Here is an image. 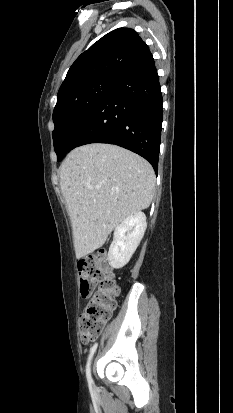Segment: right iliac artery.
<instances>
[{
	"label": "right iliac artery",
	"mask_w": 233,
	"mask_h": 413,
	"mask_svg": "<svg viewBox=\"0 0 233 413\" xmlns=\"http://www.w3.org/2000/svg\"><path fill=\"white\" fill-rule=\"evenodd\" d=\"M97 345H98V344L95 343V344L91 347L90 353H89V356H88L87 365H86V377H87V381H88L89 386H92V384H93V380H92L91 372H90V362H91V359H92V356H93L94 352H95L96 349H97Z\"/></svg>",
	"instance_id": "82829eb1"
}]
</instances>
